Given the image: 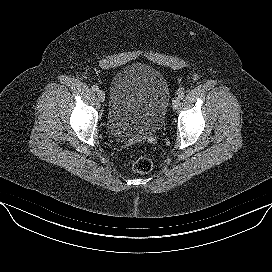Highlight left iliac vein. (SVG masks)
Here are the masks:
<instances>
[{"mask_svg": "<svg viewBox=\"0 0 272 272\" xmlns=\"http://www.w3.org/2000/svg\"><path fill=\"white\" fill-rule=\"evenodd\" d=\"M180 102H181V98L179 96L173 98V100H172V107H173V109H177L178 106H179V104H180Z\"/></svg>", "mask_w": 272, "mask_h": 272, "instance_id": "1", "label": "left iliac vein"}]
</instances>
